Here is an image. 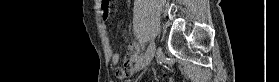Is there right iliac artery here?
Returning a JSON list of instances; mask_svg holds the SVG:
<instances>
[{
  "mask_svg": "<svg viewBox=\"0 0 279 82\" xmlns=\"http://www.w3.org/2000/svg\"><path fill=\"white\" fill-rule=\"evenodd\" d=\"M142 58V54L138 55L135 59L136 62L140 61V59Z\"/></svg>",
  "mask_w": 279,
  "mask_h": 82,
  "instance_id": "82829eb1",
  "label": "right iliac artery"
}]
</instances>
